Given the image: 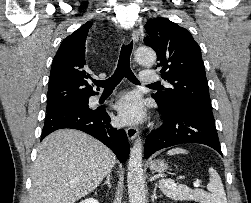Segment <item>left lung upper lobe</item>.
<instances>
[{
  "mask_svg": "<svg viewBox=\"0 0 251 203\" xmlns=\"http://www.w3.org/2000/svg\"><path fill=\"white\" fill-rule=\"evenodd\" d=\"M144 42L153 48L161 76L172 85L152 97L161 108L174 112L195 107L213 114L201 50L188 30L166 18H154L145 25Z\"/></svg>",
  "mask_w": 251,
  "mask_h": 203,
  "instance_id": "1",
  "label": "left lung upper lobe"
}]
</instances>
